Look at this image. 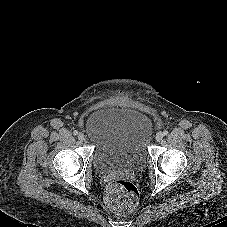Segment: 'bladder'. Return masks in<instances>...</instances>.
I'll return each mask as SVG.
<instances>
[{"label":"bladder","mask_w":227,"mask_h":227,"mask_svg":"<svg viewBox=\"0 0 227 227\" xmlns=\"http://www.w3.org/2000/svg\"><path fill=\"white\" fill-rule=\"evenodd\" d=\"M151 120L144 111L120 105H105L85 121L93 145L94 167L100 174L140 167L147 159Z\"/></svg>","instance_id":"31cf9c89"}]
</instances>
